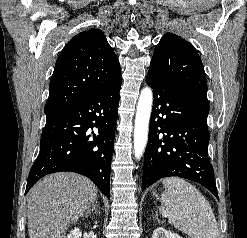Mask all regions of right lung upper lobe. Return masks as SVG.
Masks as SVG:
<instances>
[{
  "label": "right lung upper lobe",
  "instance_id": "1",
  "mask_svg": "<svg viewBox=\"0 0 247 238\" xmlns=\"http://www.w3.org/2000/svg\"><path fill=\"white\" fill-rule=\"evenodd\" d=\"M120 64L104 33L91 29L73 37L60 53L44 112L51 118L120 78Z\"/></svg>",
  "mask_w": 247,
  "mask_h": 238
}]
</instances>
